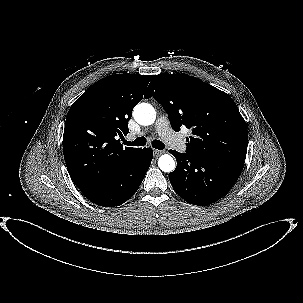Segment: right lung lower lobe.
<instances>
[{
    "instance_id": "right-lung-lower-lobe-1",
    "label": "right lung lower lobe",
    "mask_w": 303,
    "mask_h": 303,
    "mask_svg": "<svg viewBox=\"0 0 303 303\" xmlns=\"http://www.w3.org/2000/svg\"><path fill=\"white\" fill-rule=\"evenodd\" d=\"M153 151L144 148L140 154L115 175L84 192L91 202L102 207L119 206L130 199L138 190L151 164Z\"/></svg>"
}]
</instances>
